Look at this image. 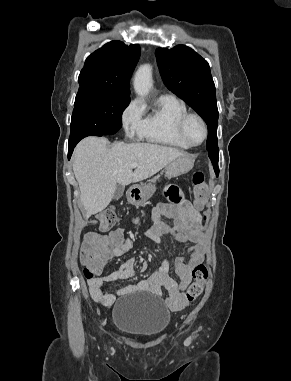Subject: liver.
<instances>
[{
    "instance_id": "1",
    "label": "liver",
    "mask_w": 291,
    "mask_h": 381,
    "mask_svg": "<svg viewBox=\"0 0 291 381\" xmlns=\"http://www.w3.org/2000/svg\"><path fill=\"white\" fill-rule=\"evenodd\" d=\"M107 144L104 137H87L74 150L73 171L86 218L109 205L118 184L125 186L145 180L186 155L176 148L151 143L119 142L111 149ZM132 163L138 164L134 172Z\"/></svg>"
}]
</instances>
